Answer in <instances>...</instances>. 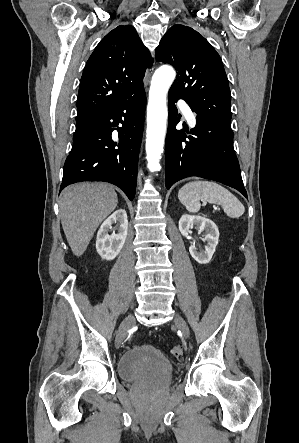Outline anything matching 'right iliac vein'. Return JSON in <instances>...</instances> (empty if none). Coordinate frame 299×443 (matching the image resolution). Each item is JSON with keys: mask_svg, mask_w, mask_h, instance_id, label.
<instances>
[{"mask_svg": "<svg viewBox=\"0 0 299 443\" xmlns=\"http://www.w3.org/2000/svg\"><path fill=\"white\" fill-rule=\"evenodd\" d=\"M135 324V318L133 315H129L125 318V320L122 322V324L119 327L118 334H117V343L120 344L124 341L127 335V331L134 326Z\"/></svg>", "mask_w": 299, "mask_h": 443, "instance_id": "63e3f726", "label": "right iliac vein"}]
</instances>
